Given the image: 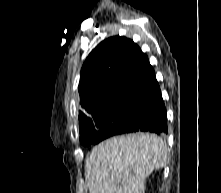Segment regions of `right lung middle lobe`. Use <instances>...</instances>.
Listing matches in <instances>:
<instances>
[{
    "mask_svg": "<svg viewBox=\"0 0 221 193\" xmlns=\"http://www.w3.org/2000/svg\"><path fill=\"white\" fill-rule=\"evenodd\" d=\"M149 100L122 99L100 108L93 116L79 120L80 142L85 146L118 135L149 110Z\"/></svg>",
    "mask_w": 221,
    "mask_h": 193,
    "instance_id": "1",
    "label": "right lung middle lobe"
}]
</instances>
